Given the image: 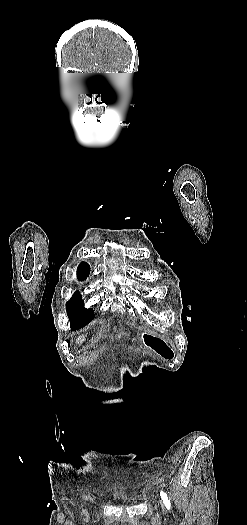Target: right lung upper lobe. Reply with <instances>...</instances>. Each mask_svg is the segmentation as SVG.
Instances as JSON below:
<instances>
[{
    "instance_id": "cb5924a9",
    "label": "right lung upper lobe",
    "mask_w": 247,
    "mask_h": 525,
    "mask_svg": "<svg viewBox=\"0 0 247 525\" xmlns=\"http://www.w3.org/2000/svg\"><path fill=\"white\" fill-rule=\"evenodd\" d=\"M90 273V267L86 262H81L77 268V274L88 275Z\"/></svg>"
}]
</instances>
